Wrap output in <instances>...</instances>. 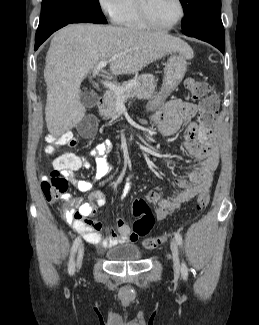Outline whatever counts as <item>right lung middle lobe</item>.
Wrapping results in <instances>:
<instances>
[{
	"mask_svg": "<svg viewBox=\"0 0 259 325\" xmlns=\"http://www.w3.org/2000/svg\"><path fill=\"white\" fill-rule=\"evenodd\" d=\"M106 24L99 0H43L36 37L61 23Z\"/></svg>",
	"mask_w": 259,
	"mask_h": 325,
	"instance_id": "dd1d6c3e",
	"label": "right lung middle lobe"
}]
</instances>
